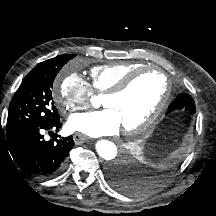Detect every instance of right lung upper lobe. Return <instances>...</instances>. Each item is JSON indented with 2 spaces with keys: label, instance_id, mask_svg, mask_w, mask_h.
Wrapping results in <instances>:
<instances>
[{
  "label": "right lung upper lobe",
  "instance_id": "1",
  "mask_svg": "<svg viewBox=\"0 0 216 216\" xmlns=\"http://www.w3.org/2000/svg\"><path fill=\"white\" fill-rule=\"evenodd\" d=\"M44 62L39 63L35 68H38L39 66H41Z\"/></svg>",
  "mask_w": 216,
  "mask_h": 216
}]
</instances>
